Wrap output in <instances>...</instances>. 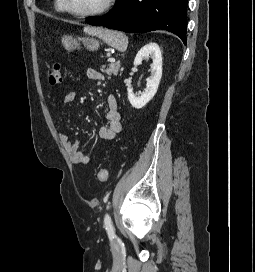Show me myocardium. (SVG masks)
<instances>
[{
  "label": "myocardium",
  "mask_w": 255,
  "mask_h": 272,
  "mask_svg": "<svg viewBox=\"0 0 255 272\" xmlns=\"http://www.w3.org/2000/svg\"><path fill=\"white\" fill-rule=\"evenodd\" d=\"M61 1H62V5H63L64 10L67 13H69L70 15L77 17V18H89V17H95V16L102 15V14L106 13L111 8V6L114 2V0H105L103 5L96 10L89 11V12H77V11H74L70 7L68 0H61Z\"/></svg>",
  "instance_id": "obj_1"
}]
</instances>
